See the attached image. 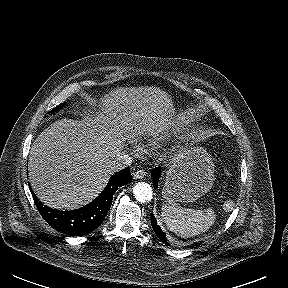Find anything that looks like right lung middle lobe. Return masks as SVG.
I'll list each match as a JSON object with an SVG mask.
<instances>
[{"mask_svg": "<svg viewBox=\"0 0 288 288\" xmlns=\"http://www.w3.org/2000/svg\"><path fill=\"white\" fill-rule=\"evenodd\" d=\"M60 108H62V105H59L58 107H56L55 109L56 110H58V109H60ZM54 110H52V111H50V112H53Z\"/></svg>", "mask_w": 288, "mask_h": 288, "instance_id": "obj_1", "label": "right lung middle lobe"}]
</instances>
